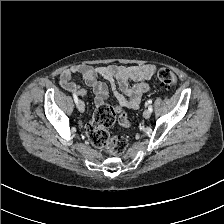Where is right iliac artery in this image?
<instances>
[{
    "mask_svg": "<svg viewBox=\"0 0 224 224\" xmlns=\"http://www.w3.org/2000/svg\"><path fill=\"white\" fill-rule=\"evenodd\" d=\"M73 98H74L76 105H78L79 99L75 93H73Z\"/></svg>",
    "mask_w": 224,
    "mask_h": 224,
    "instance_id": "1",
    "label": "right iliac artery"
}]
</instances>
